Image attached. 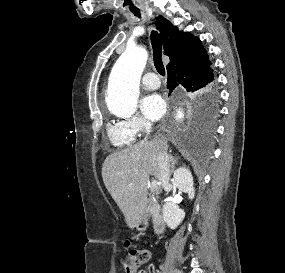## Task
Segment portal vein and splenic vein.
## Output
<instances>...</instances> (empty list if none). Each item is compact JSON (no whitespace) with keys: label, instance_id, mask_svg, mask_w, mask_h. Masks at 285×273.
Listing matches in <instances>:
<instances>
[{"label":"portal vein and splenic vein","instance_id":"1","mask_svg":"<svg viewBox=\"0 0 285 273\" xmlns=\"http://www.w3.org/2000/svg\"><path fill=\"white\" fill-rule=\"evenodd\" d=\"M158 182L156 180H153L152 181V184H151V189L154 191V190H157L158 188Z\"/></svg>","mask_w":285,"mask_h":273}]
</instances>
